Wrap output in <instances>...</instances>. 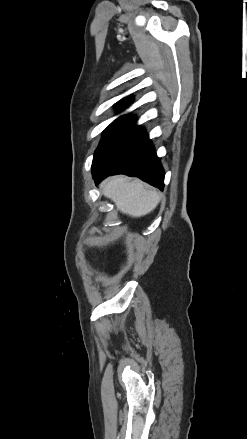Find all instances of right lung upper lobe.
<instances>
[{"mask_svg":"<svg viewBox=\"0 0 247 439\" xmlns=\"http://www.w3.org/2000/svg\"><path fill=\"white\" fill-rule=\"evenodd\" d=\"M119 103H120L122 106H126L128 103H130V100H129V99H122Z\"/></svg>","mask_w":247,"mask_h":439,"instance_id":"cb5924a9","label":"right lung upper lobe"}]
</instances>
